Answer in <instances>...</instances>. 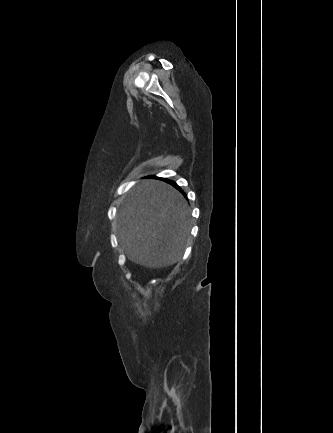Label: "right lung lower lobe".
Wrapping results in <instances>:
<instances>
[{
	"label": "right lung lower lobe",
	"instance_id": "98d812e1",
	"mask_svg": "<svg viewBox=\"0 0 333 433\" xmlns=\"http://www.w3.org/2000/svg\"><path fill=\"white\" fill-rule=\"evenodd\" d=\"M163 180L166 181V182H168V183H170V184H172L173 186H175L177 189H179V190L183 193V191L181 190V188L178 187L177 184H176L175 182L170 181V180H167V179H163ZM183 194H184V193H183ZM184 195H185V194H184Z\"/></svg>",
	"mask_w": 333,
	"mask_h": 433
}]
</instances>
